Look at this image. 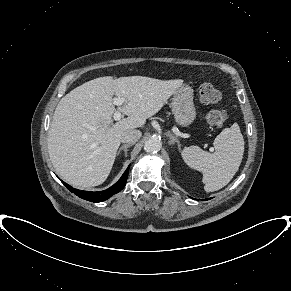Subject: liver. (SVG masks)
Instances as JSON below:
<instances>
[{"label":"liver","mask_w":291,"mask_h":291,"mask_svg":"<svg viewBox=\"0 0 291 291\" xmlns=\"http://www.w3.org/2000/svg\"><path fill=\"white\" fill-rule=\"evenodd\" d=\"M182 85V80L106 76L70 91L59 101L48 134V152L57 174L73 186L102 184L122 133L142 127ZM112 95L124 98L117 111L128 116L116 123Z\"/></svg>","instance_id":"6515ba94"}]
</instances>
